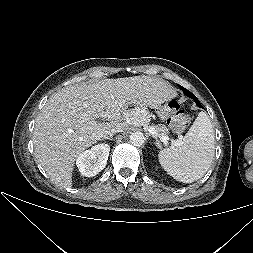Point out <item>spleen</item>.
Returning <instances> with one entry per match:
<instances>
[{
	"label": "spleen",
	"instance_id": "obj_1",
	"mask_svg": "<svg viewBox=\"0 0 253 253\" xmlns=\"http://www.w3.org/2000/svg\"><path fill=\"white\" fill-rule=\"evenodd\" d=\"M214 141L212 123L201 111L183 141L174 142L159 152V162L177 181L192 183L208 171L214 156Z\"/></svg>",
	"mask_w": 253,
	"mask_h": 253
}]
</instances>
